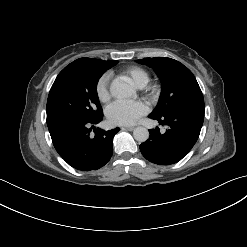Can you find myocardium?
I'll return each mask as SVG.
<instances>
[{"label":"myocardium","mask_w":247,"mask_h":247,"mask_svg":"<svg viewBox=\"0 0 247 247\" xmlns=\"http://www.w3.org/2000/svg\"><path fill=\"white\" fill-rule=\"evenodd\" d=\"M150 89H151V90H155V86H151Z\"/></svg>","instance_id":"obj_1"}]
</instances>
